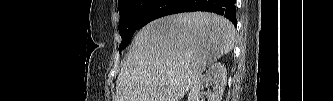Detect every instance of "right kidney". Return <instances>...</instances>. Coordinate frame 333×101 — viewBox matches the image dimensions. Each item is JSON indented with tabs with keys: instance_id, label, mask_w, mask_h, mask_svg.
<instances>
[{
	"instance_id": "1",
	"label": "right kidney",
	"mask_w": 333,
	"mask_h": 101,
	"mask_svg": "<svg viewBox=\"0 0 333 101\" xmlns=\"http://www.w3.org/2000/svg\"><path fill=\"white\" fill-rule=\"evenodd\" d=\"M226 81V67L220 62L210 65L206 75H200L194 81L188 94V101H203L201 95L204 88H208L205 92L207 101H221ZM209 87H212V90Z\"/></svg>"
}]
</instances>
